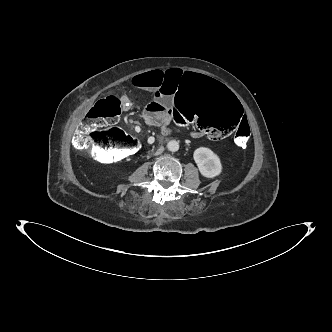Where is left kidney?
Returning a JSON list of instances; mask_svg holds the SVG:
<instances>
[{"label": "left kidney", "instance_id": "left-kidney-1", "mask_svg": "<svg viewBox=\"0 0 332 332\" xmlns=\"http://www.w3.org/2000/svg\"><path fill=\"white\" fill-rule=\"evenodd\" d=\"M193 158L202 176L214 178L221 174L222 164L220 158L211 149L199 147L194 151Z\"/></svg>", "mask_w": 332, "mask_h": 332}]
</instances>
